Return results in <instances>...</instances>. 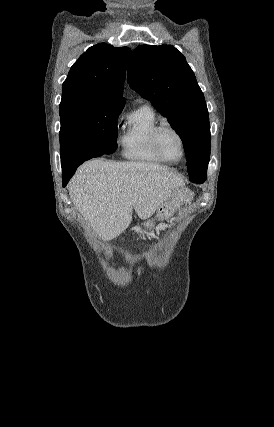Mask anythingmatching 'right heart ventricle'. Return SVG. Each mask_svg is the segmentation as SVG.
I'll return each instance as SVG.
<instances>
[{
    "instance_id": "1",
    "label": "right heart ventricle",
    "mask_w": 274,
    "mask_h": 427,
    "mask_svg": "<svg viewBox=\"0 0 274 427\" xmlns=\"http://www.w3.org/2000/svg\"><path fill=\"white\" fill-rule=\"evenodd\" d=\"M158 125V117L151 106L144 104L132 111L119 138L121 155L132 161L163 164L152 146V135Z\"/></svg>"
}]
</instances>
